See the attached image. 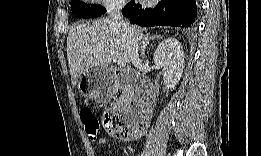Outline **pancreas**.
<instances>
[{"label": "pancreas", "instance_id": "1", "mask_svg": "<svg viewBox=\"0 0 261 156\" xmlns=\"http://www.w3.org/2000/svg\"><path fill=\"white\" fill-rule=\"evenodd\" d=\"M129 95H130L129 89H128L127 87H125V88L123 89V95H122V97H121V100H122L124 103L128 102V100H129Z\"/></svg>", "mask_w": 261, "mask_h": 156}]
</instances>
